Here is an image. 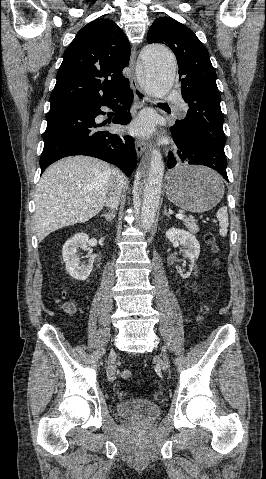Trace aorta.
<instances>
[{
  "label": "aorta",
  "mask_w": 266,
  "mask_h": 479,
  "mask_svg": "<svg viewBox=\"0 0 266 479\" xmlns=\"http://www.w3.org/2000/svg\"><path fill=\"white\" fill-rule=\"evenodd\" d=\"M140 67L146 92L154 98L164 97L175 78L176 61L172 52L163 45H147L141 51ZM164 168L162 155L154 150L147 169H140L136 177L134 205L141 202V223L145 230H149L155 221Z\"/></svg>",
  "instance_id": "762f6f07"
}]
</instances>
